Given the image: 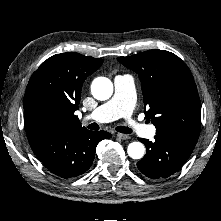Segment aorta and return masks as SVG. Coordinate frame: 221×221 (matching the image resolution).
I'll list each match as a JSON object with an SVG mask.
<instances>
[{
	"label": "aorta",
	"mask_w": 221,
	"mask_h": 221,
	"mask_svg": "<svg viewBox=\"0 0 221 221\" xmlns=\"http://www.w3.org/2000/svg\"><path fill=\"white\" fill-rule=\"evenodd\" d=\"M91 93L97 100H107L113 94V84L106 77H98L93 80ZM128 155L133 159H141L145 154V147L140 142H132L127 148Z\"/></svg>",
	"instance_id": "obj_1"
}]
</instances>
